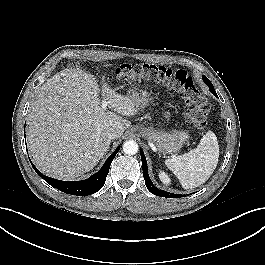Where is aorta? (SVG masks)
I'll list each match as a JSON object with an SVG mask.
<instances>
[{
  "mask_svg": "<svg viewBox=\"0 0 265 265\" xmlns=\"http://www.w3.org/2000/svg\"><path fill=\"white\" fill-rule=\"evenodd\" d=\"M123 151L128 155H134L138 152V144L134 140H128L123 144Z\"/></svg>",
  "mask_w": 265,
  "mask_h": 265,
  "instance_id": "1",
  "label": "aorta"
}]
</instances>
